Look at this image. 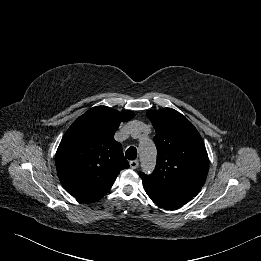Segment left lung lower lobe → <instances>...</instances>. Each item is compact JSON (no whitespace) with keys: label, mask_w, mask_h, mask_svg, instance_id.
Instances as JSON below:
<instances>
[{"label":"left lung lower lobe","mask_w":261,"mask_h":261,"mask_svg":"<svg viewBox=\"0 0 261 261\" xmlns=\"http://www.w3.org/2000/svg\"><path fill=\"white\" fill-rule=\"evenodd\" d=\"M144 185V189L151 200L163 208H176L186 204L193 197L167 190H161L152 186Z\"/></svg>","instance_id":"1"}]
</instances>
